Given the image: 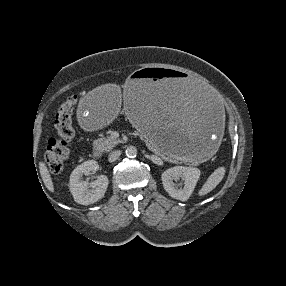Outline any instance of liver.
Segmentation results:
<instances>
[{
  "label": "liver",
  "instance_id": "liver-1",
  "mask_svg": "<svg viewBox=\"0 0 286 286\" xmlns=\"http://www.w3.org/2000/svg\"><path fill=\"white\" fill-rule=\"evenodd\" d=\"M124 88L126 89V85L124 86ZM39 172H40V175H41V178L43 180L45 187L49 191L54 192V185L52 182L51 175L48 171L46 164L42 161L39 163Z\"/></svg>",
  "mask_w": 286,
  "mask_h": 286
}]
</instances>
